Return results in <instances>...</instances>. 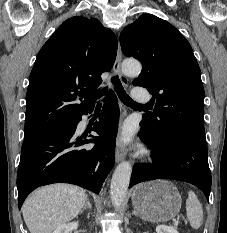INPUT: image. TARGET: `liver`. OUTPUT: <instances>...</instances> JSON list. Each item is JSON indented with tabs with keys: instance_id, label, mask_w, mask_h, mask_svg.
Segmentation results:
<instances>
[{
	"instance_id": "liver-1",
	"label": "liver",
	"mask_w": 227,
	"mask_h": 233,
	"mask_svg": "<svg viewBox=\"0 0 227 233\" xmlns=\"http://www.w3.org/2000/svg\"><path fill=\"white\" fill-rule=\"evenodd\" d=\"M82 188L69 184H52L37 189L22 206L30 233H52L76 218L86 204Z\"/></svg>"
}]
</instances>
